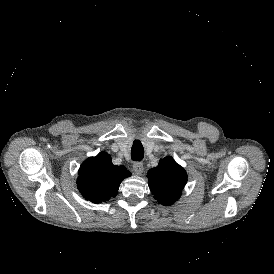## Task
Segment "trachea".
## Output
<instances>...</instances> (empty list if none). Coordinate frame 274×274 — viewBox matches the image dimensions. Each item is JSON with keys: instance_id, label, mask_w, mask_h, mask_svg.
Segmentation results:
<instances>
[{"instance_id": "1", "label": "trachea", "mask_w": 274, "mask_h": 274, "mask_svg": "<svg viewBox=\"0 0 274 274\" xmlns=\"http://www.w3.org/2000/svg\"><path fill=\"white\" fill-rule=\"evenodd\" d=\"M144 156V148L140 141H135L131 149V158L136 162H140Z\"/></svg>"}]
</instances>
